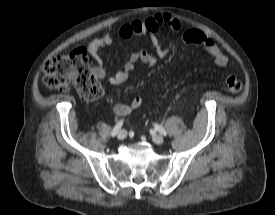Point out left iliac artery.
Listing matches in <instances>:
<instances>
[{"mask_svg": "<svg viewBox=\"0 0 275 215\" xmlns=\"http://www.w3.org/2000/svg\"><path fill=\"white\" fill-rule=\"evenodd\" d=\"M155 129L162 135L166 136L167 135V132L165 131V129L161 126V125H158V124H155Z\"/></svg>", "mask_w": 275, "mask_h": 215, "instance_id": "1", "label": "left iliac artery"}]
</instances>
